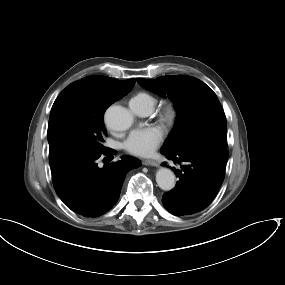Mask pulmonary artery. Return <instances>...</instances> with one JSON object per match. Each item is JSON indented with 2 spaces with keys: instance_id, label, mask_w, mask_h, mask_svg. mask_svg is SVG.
Wrapping results in <instances>:
<instances>
[{
  "instance_id": "e3ab8cb5",
  "label": "pulmonary artery",
  "mask_w": 285,
  "mask_h": 285,
  "mask_svg": "<svg viewBox=\"0 0 285 285\" xmlns=\"http://www.w3.org/2000/svg\"><path fill=\"white\" fill-rule=\"evenodd\" d=\"M129 106L133 112L139 115H147L152 111L149 104L139 103L136 100H131Z\"/></svg>"
}]
</instances>
